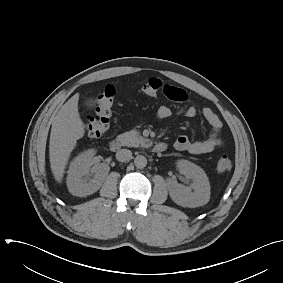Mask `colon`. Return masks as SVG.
Returning <instances> with one entry per match:
<instances>
[{
    "label": "colon",
    "mask_w": 283,
    "mask_h": 283,
    "mask_svg": "<svg viewBox=\"0 0 283 283\" xmlns=\"http://www.w3.org/2000/svg\"><path fill=\"white\" fill-rule=\"evenodd\" d=\"M162 86V82L158 78L152 77L144 83L142 90L149 96H155L162 89ZM116 92L114 85H107L98 97L95 114L88 116L85 122V129L90 137H102L108 130ZM231 167V160L227 156H222L217 161L216 171L225 173Z\"/></svg>",
    "instance_id": "1"
}]
</instances>
